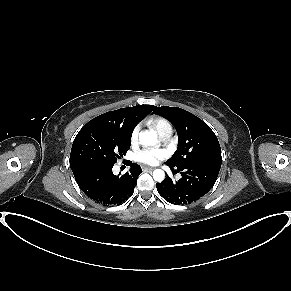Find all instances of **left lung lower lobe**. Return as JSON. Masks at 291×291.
I'll return each instance as SVG.
<instances>
[{
  "instance_id": "1",
  "label": "left lung lower lobe",
  "mask_w": 291,
  "mask_h": 291,
  "mask_svg": "<svg viewBox=\"0 0 291 291\" xmlns=\"http://www.w3.org/2000/svg\"><path fill=\"white\" fill-rule=\"evenodd\" d=\"M168 165V164H167ZM172 170L174 167L168 165ZM221 162L198 161L177 168L181 179L173 182L167 177L156 184L158 193L169 203L189 204L204 196L214 186Z\"/></svg>"
}]
</instances>
